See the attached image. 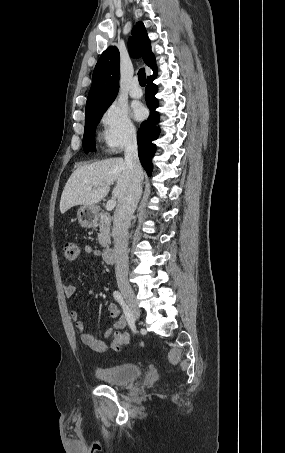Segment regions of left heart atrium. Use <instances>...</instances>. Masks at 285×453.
Wrapping results in <instances>:
<instances>
[{
	"mask_svg": "<svg viewBox=\"0 0 285 453\" xmlns=\"http://www.w3.org/2000/svg\"><path fill=\"white\" fill-rule=\"evenodd\" d=\"M133 115L137 120H142L146 115V110L141 104L137 103L133 106Z\"/></svg>",
	"mask_w": 285,
	"mask_h": 453,
	"instance_id": "left-heart-atrium-1",
	"label": "left heart atrium"
}]
</instances>
